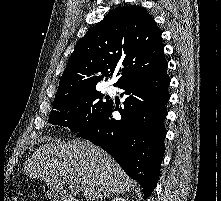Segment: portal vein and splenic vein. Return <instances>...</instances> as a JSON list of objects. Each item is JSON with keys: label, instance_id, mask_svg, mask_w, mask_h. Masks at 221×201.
<instances>
[{"label": "portal vein and splenic vein", "instance_id": "obj_1", "mask_svg": "<svg viewBox=\"0 0 221 201\" xmlns=\"http://www.w3.org/2000/svg\"><path fill=\"white\" fill-rule=\"evenodd\" d=\"M71 187L74 191L79 192L83 190V185L79 180H72Z\"/></svg>", "mask_w": 221, "mask_h": 201}]
</instances>
